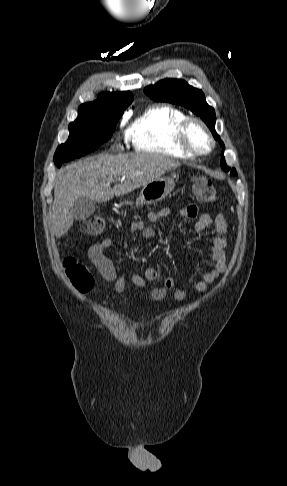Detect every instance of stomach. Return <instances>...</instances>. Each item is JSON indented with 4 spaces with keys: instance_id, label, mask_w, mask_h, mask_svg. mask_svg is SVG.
<instances>
[{
    "instance_id": "0dacf381",
    "label": "stomach",
    "mask_w": 287,
    "mask_h": 486,
    "mask_svg": "<svg viewBox=\"0 0 287 486\" xmlns=\"http://www.w3.org/2000/svg\"><path fill=\"white\" fill-rule=\"evenodd\" d=\"M175 182L172 178L162 177L145 184L139 197L136 199V206L154 204L165 199L174 189Z\"/></svg>"
}]
</instances>
